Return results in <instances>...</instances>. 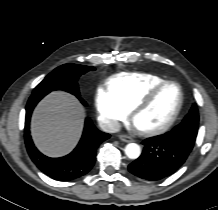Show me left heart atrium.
I'll return each mask as SVG.
<instances>
[{
	"mask_svg": "<svg viewBox=\"0 0 218 210\" xmlns=\"http://www.w3.org/2000/svg\"><path fill=\"white\" fill-rule=\"evenodd\" d=\"M133 127H134L135 129H138L137 126H136L134 123H133Z\"/></svg>",
	"mask_w": 218,
	"mask_h": 210,
	"instance_id": "1",
	"label": "left heart atrium"
}]
</instances>
